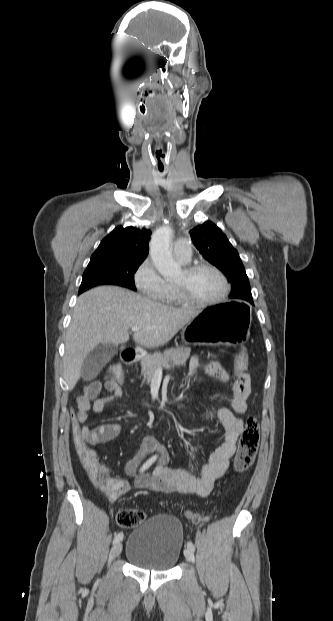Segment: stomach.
Listing matches in <instances>:
<instances>
[{
  "label": "stomach",
  "mask_w": 333,
  "mask_h": 621,
  "mask_svg": "<svg viewBox=\"0 0 333 621\" xmlns=\"http://www.w3.org/2000/svg\"><path fill=\"white\" fill-rule=\"evenodd\" d=\"M251 309L241 303L225 302L204 308L181 332L185 342L204 344L217 339L240 351L245 345V334L250 321Z\"/></svg>",
  "instance_id": "stomach-1"
}]
</instances>
